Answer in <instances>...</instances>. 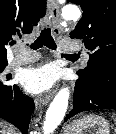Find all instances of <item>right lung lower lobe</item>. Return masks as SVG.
Here are the masks:
<instances>
[{
	"label": "right lung lower lobe",
	"mask_w": 116,
	"mask_h": 134,
	"mask_svg": "<svg viewBox=\"0 0 116 134\" xmlns=\"http://www.w3.org/2000/svg\"><path fill=\"white\" fill-rule=\"evenodd\" d=\"M33 109V100L19 87L10 97L0 99V118L16 126L23 134H27Z\"/></svg>",
	"instance_id": "98d812e1"
}]
</instances>
